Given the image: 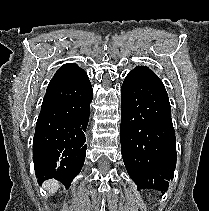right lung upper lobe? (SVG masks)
<instances>
[{
	"label": "right lung upper lobe",
	"mask_w": 209,
	"mask_h": 211,
	"mask_svg": "<svg viewBox=\"0 0 209 211\" xmlns=\"http://www.w3.org/2000/svg\"><path fill=\"white\" fill-rule=\"evenodd\" d=\"M81 68L78 67L77 64L74 63H67L65 65H63L54 75V77L51 79L48 87H52L55 84L60 83L61 81L67 79L68 77H70L72 74H74L75 72H77L78 70H80Z\"/></svg>",
	"instance_id": "right-lung-upper-lobe-1"
}]
</instances>
